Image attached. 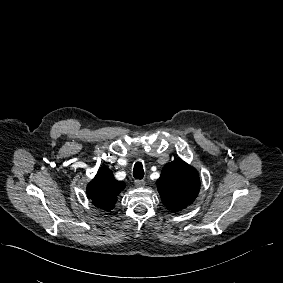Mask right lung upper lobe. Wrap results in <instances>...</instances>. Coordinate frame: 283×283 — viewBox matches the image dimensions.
Returning a JSON list of instances; mask_svg holds the SVG:
<instances>
[{
	"label": "right lung upper lobe",
	"mask_w": 283,
	"mask_h": 283,
	"mask_svg": "<svg viewBox=\"0 0 283 283\" xmlns=\"http://www.w3.org/2000/svg\"><path fill=\"white\" fill-rule=\"evenodd\" d=\"M125 188V183L117 181L112 171L101 167L95 178L87 185V196L92 203L105 211L113 209L118 194Z\"/></svg>",
	"instance_id": "cb5924a9"
}]
</instances>
